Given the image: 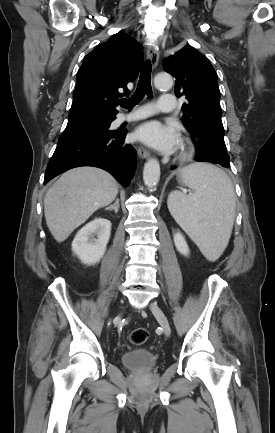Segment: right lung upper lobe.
<instances>
[{"label": "right lung upper lobe", "mask_w": 275, "mask_h": 433, "mask_svg": "<svg viewBox=\"0 0 275 433\" xmlns=\"http://www.w3.org/2000/svg\"><path fill=\"white\" fill-rule=\"evenodd\" d=\"M143 62L142 45L123 32L112 35L84 59L76 77L69 119L87 115L116 116L117 101L129 92Z\"/></svg>", "instance_id": "right-lung-upper-lobe-1"}]
</instances>
